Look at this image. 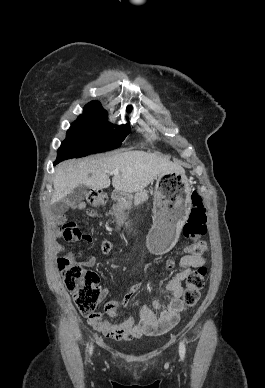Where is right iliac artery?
I'll use <instances>...</instances> for the list:
<instances>
[{
	"label": "right iliac artery",
	"mask_w": 265,
	"mask_h": 388,
	"mask_svg": "<svg viewBox=\"0 0 265 388\" xmlns=\"http://www.w3.org/2000/svg\"><path fill=\"white\" fill-rule=\"evenodd\" d=\"M92 350H93V348H92V345H91L90 346V350H89L90 354L92 353Z\"/></svg>",
	"instance_id": "right-iliac-artery-1"
}]
</instances>
